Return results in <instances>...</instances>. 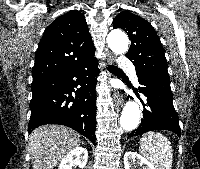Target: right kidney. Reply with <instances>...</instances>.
I'll return each mask as SVG.
<instances>
[{
    "instance_id": "obj_1",
    "label": "right kidney",
    "mask_w": 200,
    "mask_h": 169,
    "mask_svg": "<svg viewBox=\"0 0 200 169\" xmlns=\"http://www.w3.org/2000/svg\"><path fill=\"white\" fill-rule=\"evenodd\" d=\"M88 159V152L85 148L77 147L69 152L64 158H62L58 169H72L74 165L80 169L86 166Z\"/></svg>"
}]
</instances>
